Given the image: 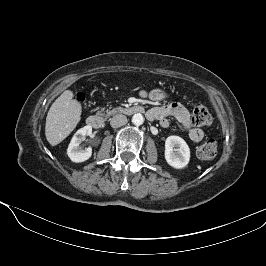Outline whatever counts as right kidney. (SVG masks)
Returning a JSON list of instances; mask_svg holds the SVG:
<instances>
[{
    "label": "right kidney",
    "mask_w": 266,
    "mask_h": 266,
    "mask_svg": "<svg viewBox=\"0 0 266 266\" xmlns=\"http://www.w3.org/2000/svg\"><path fill=\"white\" fill-rule=\"evenodd\" d=\"M92 134V127L90 125L80 128L72 137L67 149V155L72 162L79 163L88 160L92 155V148L88 147L83 150L79 145L85 139V136Z\"/></svg>",
    "instance_id": "ca27d5eb"
}]
</instances>
